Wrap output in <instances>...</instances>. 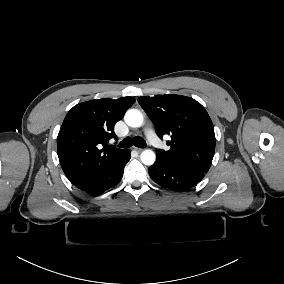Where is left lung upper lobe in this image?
Returning a JSON list of instances; mask_svg holds the SVG:
<instances>
[{"instance_id":"obj_1","label":"left lung upper lobe","mask_w":284,"mask_h":284,"mask_svg":"<svg viewBox=\"0 0 284 284\" xmlns=\"http://www.w3.org/2000/svg\"><path fill=\"white\" fill-rule=\"evenodd\" d=\"M138 102L159 137L171 136L167 143L170 149H157L156 156L169 164L206 173L215 152V134L205 108L190 97L175 94L144 96Z\"/></svg>"}]
</instances>
